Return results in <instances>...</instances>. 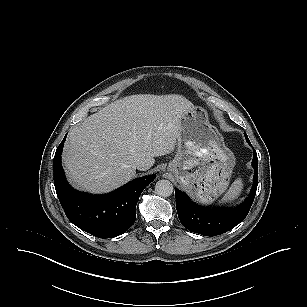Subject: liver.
I'll return each mask as SVG.
<instances>
[{
    "label": "liver",
    "instance_id": "obj_1",
    "mask_svg": "<svg viewBox=\"0 0 307 307\" xmlns=\"http://www.w3.org/2000/svg\"><path fill=\"white\" fill-rule=\"evenodd\" d=\"M191 108L180 95L150 94L105 106L69 132L63 152L69 181L97 194L123 185L136 175V161L150 168L154 157L174 151L181 117Z\"/></svg>",
    "mask_w": 307,
    "mask_h": 307
}]
</instances>
